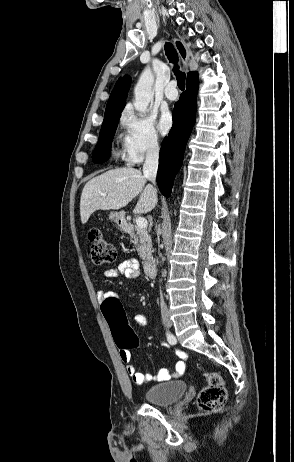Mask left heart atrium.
Here are the masks:
<instances>
[{
	"label": "left heart atrium",
	"instance_id": "left-heart-atrium-1",
	"mask_svg": "<svg viewBox=\"0 0 294 462\" xmlns=\"http://www.w3.org/2000/svg\"><path fill=\"white\" fill-rule=\"evenodd\" d=\"M173 120L172 116L168 112H163L158 121V128L162 134H167L172 128Z\"/></svg>",
	"mask_w": 294,
	"mask_h": 462
}]
</instances>
